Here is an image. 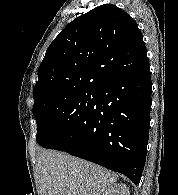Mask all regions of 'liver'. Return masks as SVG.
I'll list each match as a JSON object with an SVG mask.
<instances>
[{
	"instance_id": "obj_1",
	"label": "liver",
	"mask_w": 178,
	"mask_h": 195,
	"mask_svg": "<svg viewBox=\"0 0 178 195\" xmlns=\"http://www.w3.org/2000/svg\"><path fill=\"white\" fill-rule=\"evenodd\" d=\"M37 167L41 195H101L118 179L101 166L56 151H42Z\"/></svg>"
}]
</instances>
